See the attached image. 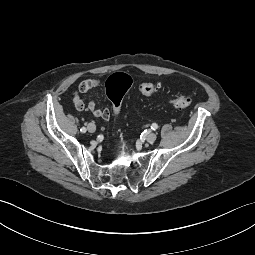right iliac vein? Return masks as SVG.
I'll return each mask as SVG.
<instances>
[{
    "label": "right iliac vein",
    "mask_w": 255,
    "mask_h": 255,
    "mask_svg": "<svg viewBox=\"0 0 255 255\" xmlns=\"http://www.w3.org/2000/svg\"><path fill=\"white\" fill-rule=\"evenodd\" d=\"M87 129L90 133H94L96 131V126L94 123H89Z\"/></svg>",
    "instance_id": "63e3f726"
}]
</instances>
